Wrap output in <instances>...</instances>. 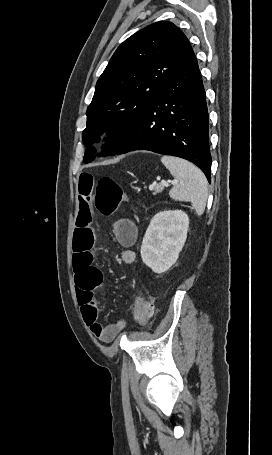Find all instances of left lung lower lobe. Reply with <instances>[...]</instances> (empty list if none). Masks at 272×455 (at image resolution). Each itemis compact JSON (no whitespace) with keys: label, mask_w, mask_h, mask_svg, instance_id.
<instances>
[{"label":"left lung lower lobe","mask_w":272,"mask_h":455,"mask_svg":"<svg viewBox=\"0 0 272 455\" xmlns=\"http://www.w3.org/2000/svg\"><path fill=\"white\" fill-rule=\"evenodd\" d=\"M134 150L189 160L210 182L208 111L197 59L166 84L111 155Z\"/></svg>","instance_id":"left-lung-lower-lobe-1"}]
</instances>
